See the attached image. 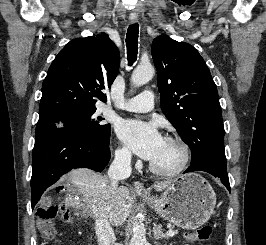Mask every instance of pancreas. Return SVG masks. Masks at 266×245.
Segmentation results:
<instances>
[{
    "label": "pancreas",
    "mask_w": 266,
    "mask_h": 245,
    "mask_svg": "<svg viewBox=\"0 0 266 245\" xmlns=\"http://www.w3.org/2000/svg\"><path fill=\"white\" fill-rule=\"evenodd\" d=\"M174 233H176V235H177L178 231H174Z\"/></svg>",
    "instance_id": "1"
}]
</instances>
